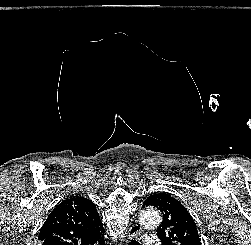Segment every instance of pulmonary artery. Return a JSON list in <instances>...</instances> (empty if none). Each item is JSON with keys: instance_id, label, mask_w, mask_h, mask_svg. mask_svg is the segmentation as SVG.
Instances as JSON below:
<instances>
[{"instance_id": "obj_1", "label": "pulmonary artery", "mask_w": 251, "mask_h": 245, "mask_svg": "<svg viewBox=\"0 0 251 245\" xmlns=\"http://www.w3.org/2000/svg\"><path fill=\"white\" fill-rule=\"evenodd\" d=\"M144 243L146 245H160V243L156 237H145Z\"/></svg>"}]
</instances>
